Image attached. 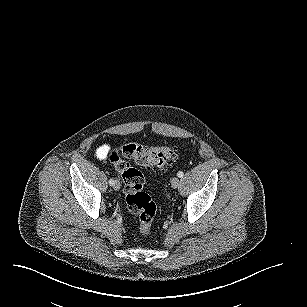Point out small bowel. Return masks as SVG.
<instances>
[{"mask_svg": "<svg viewBox=\"0 0 307 307\" xmlns=\"http://www.w3.org/2000/svg\"><path fill=\"white\" fill-rule=\"evenodd\" d=\"M108 152H109V146L108 145L103 144V145L99 146L96 150L97 159L105 160Z\"/></svg>", "mask_w": 307, "mask_h": 307, "instance_id": "small-bowel-1", "label": "small bowel"}]
</instances>
